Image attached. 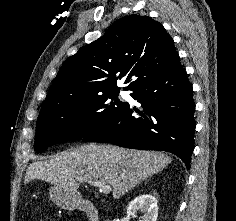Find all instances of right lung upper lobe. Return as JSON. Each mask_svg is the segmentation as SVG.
<instances>
[{"instance_id":"obj_1","label":"right lung upper lobe","mask_w":236,"mask_h":221,"mask_svg":"<svg viewBox=\"0 0 236 221\" xmlns=\"http://www.w3.org/2000/svg\"><path fill=\"white\" fill-rule=\"evenodd\" d=\"M177 55L173 39L151 17L129 15L118 19L102 37L66 59L41 110L120 90L117 82L124 76V83L130 82L124 90H130Z\"/></svg>"}]
</instances>
